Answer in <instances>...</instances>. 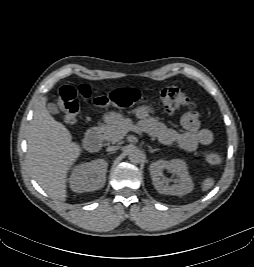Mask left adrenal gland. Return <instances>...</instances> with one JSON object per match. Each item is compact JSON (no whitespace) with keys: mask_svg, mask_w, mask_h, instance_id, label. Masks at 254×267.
I'll return each mask as SVG.
<instances>
[{"mask_svg":"<svg viewBox=\"0 0 254 267\" xmlns=\"http://www.w3.org/2000/svg\"><path fill=\"white\" fill-rule=\"evenodd\" d=\"M156 151H159V149H153L152 147L149 146V152L150 153H153V152H156Z\"/></svg>","mask_w":254,"mask_h":267,"instance_id":"1","label":"left adrenal gland"}]
</instances>
